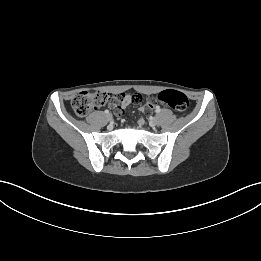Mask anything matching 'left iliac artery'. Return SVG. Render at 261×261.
<instances>
[{
  "label": "left iliac artery",
  "instance_id": "44dca946",
  "mask_svg": "<svg viewBox=\"0 0 261 261\" xmlns=\"http://www.w3.org/2000/svg\"><path fill=\"white\" fill-rule=\"evenodd\" d=\"M155 111H156L157 113H159V112L161 111L160 107L157 106L156 109H155Z\"/></svg>",
  "mask_w": 261,
  "mask_h": 261
}]
</instances>
